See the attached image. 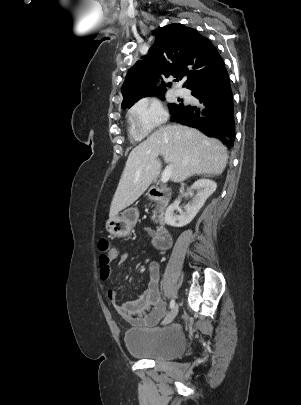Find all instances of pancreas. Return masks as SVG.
<instances>
[{
    "instance_id": "cf45deb5",
    "label": "pancreas",
    "mask_w": 301,
    "mask_h": 405,
    "mask_svg": "<svg viewBox=\"0 0 301 405\" xmlns=\"http://www.w3.org/2000/svg\"><path fill=\"white\" fill-rule=\"evenodd\" d=\"M155 219H156V210L153 211V216H152V220L155 221Z\"/></svg>"
}]
</instances>
